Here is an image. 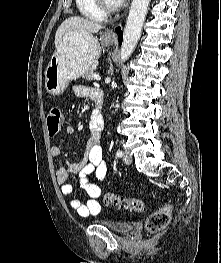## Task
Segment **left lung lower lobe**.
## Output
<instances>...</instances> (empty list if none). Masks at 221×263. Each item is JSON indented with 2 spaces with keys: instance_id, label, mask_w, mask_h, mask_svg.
Segmentation results:
<instances>
[{
  "instance_id": "1",
  "label": "left lung lower lobe",
  "mask_w": 221,
  "mask_h": 263,
  "mask_svg": "<svg viewBox=\"0 0 221 263\" xmlns=\"http://www.w3.org/2000/svg\"><path fill=\"white\" fill-rule=\"evenodd\" d=\"M116 32L118 35V40H119V44L121 45L122 44V39H123V33L121 32V29L118 27L116 28Z\"/></svg>"
}]
</instances>
